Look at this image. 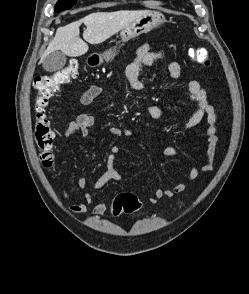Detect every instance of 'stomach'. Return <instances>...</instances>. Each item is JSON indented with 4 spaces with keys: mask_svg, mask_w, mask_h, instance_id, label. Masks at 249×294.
<instances>
[{
    "mask_svg": "<svg viewBox=\"0 0 249 294\" xmlns=\"http://www.w3.org/2000/svg\"><path fill=\"white\" fill-rule=\"evenodd\" d=\"M165 22L164 16L156 11H148L145 15L132 22L125 27L121 32L122 42H127L141 34L148 33L154 28L159 27ZM117 53L116 47L105 51L103 54L92 56L90 61L101 64L104 60L106 62L112 61Z\"/></svg>",
    "mask_w": 249,
    "mask_h": 294,
    "instance_id": "1",
    "label": "stomach"
}]
</instances>
